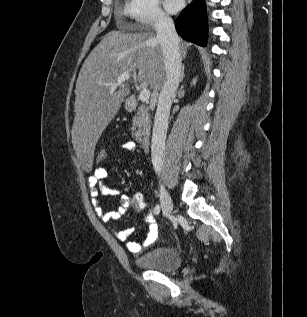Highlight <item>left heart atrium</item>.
Instances as JSON below:
<instances>
[{
	"instance_id": "1",
	"label": "left heart atrium",
	"mask_w": 307,
	"mask_h": 317,
	"mask_svg": "<svg viewBox=\"0 0 307 317\" xmlns=\"http://www.w3.org/2000/svg\"><path fill=\"white\" fill-rule=\"evenodd\" d=\"M164 6L170 13H175L183 6V0H164Z\"/></svg>"
}]
</instances>
